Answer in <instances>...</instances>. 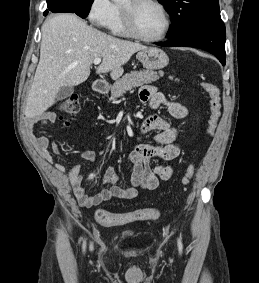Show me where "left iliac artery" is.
<instances>
[{
  "label": "left iliac artery",
  "mask_w": 259,
  "mask_h": 283,
  "mask_svg": "<svg viewBox=\"0 0 259 283\" xmlns=\"http://www.w3.org/2000/svg\"><path fill=\"white\" fill-rule=\"evenodd\" d=\"M178 248H179V252L181 253L183 245H182V242H181V240L179 238H178Z\"/></svg>",
  "instance_id": "obj_1"
}]
</instances>
